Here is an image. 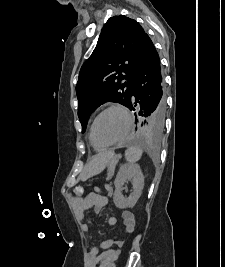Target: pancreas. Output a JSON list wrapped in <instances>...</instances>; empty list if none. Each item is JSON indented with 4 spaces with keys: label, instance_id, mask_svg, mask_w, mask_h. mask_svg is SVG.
I'll use <instances>...</instances> for the list:
<instances>
[{
    "label": "pancreas",
    "instance_id": "1",
    "mask_svg": "<svg viewBox=\"0 0 225 267\" xmlns=\"http://www.w3.org/2000/svg\"><path fill=\"white\" fill-rule=\"evenodd\" d=\"M116 163H117V160L115 158L112 159L109 162V164H108V173H107V179L106 180H110L113 177Z\"/></svg>",
    "mask_w": 225,
    "mask_h": 267
}]
</instances>
